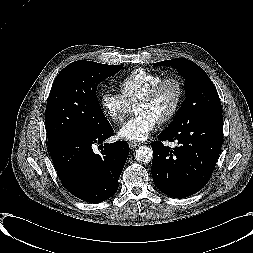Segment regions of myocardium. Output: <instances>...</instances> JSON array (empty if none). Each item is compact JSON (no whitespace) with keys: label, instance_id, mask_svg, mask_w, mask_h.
Returning <instances> with one entry per match:
<instances>
[{"label":"myocardium","instance_id":"myocardium-1","mask_svg":"<svg viewBox=\"0 0 253 253\" xmlns=\"http://www.w3.org/2000/svg\"><path fill=\"white\" fill-rule=\"evenodd\" d=\"M168 83H174L177 87L178 90V97L176 100L175 105L173 106V108L163 117L161 118L158 123L159 124H166L168 122H170L178 113V111L180 110L183 101H184V96H185V88H184V84L182 82V80L177 77V76H166L163 77L161 80H159L158 82H156L155 84H153L148 90L147 92L139 98V100L136 102L138 103H146V102H150L151 100L154 99V97L157 95V93L160 91V89Z\"/></svg>","mask_w":253,"mask_h":253}]
</instances>
